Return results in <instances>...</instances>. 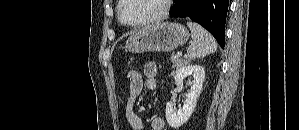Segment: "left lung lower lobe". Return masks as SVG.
<instances>
[{"label": "left lung lower lobe", "instance_id": "0a47b994", "mask_svg": "<svg viewBox=\"0 0 299 130\" xmlns=\"http://www.w3.org/2000/svg\"><path fill=\"white\" fill-rule=\"evenodd\" d=\"M171 17H188L206 28L225 46V22L229 0H174Z\"/></svg>", "mask_w": 299, "mask_h": 130}]
</instances>
